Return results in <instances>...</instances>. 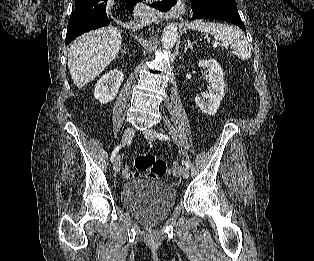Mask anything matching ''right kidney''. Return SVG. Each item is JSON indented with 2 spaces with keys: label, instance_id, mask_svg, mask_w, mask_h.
<instances>
[{
  "label": "right kidney",
  "instance_id": "right-kidney-1",
  "mask_svg": "<svg viewBox=\"0 0 314 261\" xmlns=\"http://www.w3.org/2000/svg\"><path fill=\"white\" fill-rule=\"evenodd\" d=\"M123 80L124 74L121 71L118 69L110 70L99 79L95 87V98L101 104L112 101L117 96Z\"/></svg>",
  "mask_w": 314,
  "mask_h": 261
}]
</instances>
